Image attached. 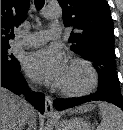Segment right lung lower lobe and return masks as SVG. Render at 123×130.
I'll return each mask as SVG.
<instances>
[{
  "label": "right lung lower lobe",
  "mask_w": 123,
  "mask_h": 130,
  "mask_svg": "<svg viewBox=\"0 0 123 130\" xmlns=\"http://www.w3.org/2000/svg\"><path fill=\"white\" fill-rule=\"evenodd\" d=\"M1 86L9 89L16 94H25L28 84L19 69H13L1 65ZM41 114L45 110V97L42 93H28L26 98Z\"/></svg>",
  "instance_id": "1"
}]
</instances>
